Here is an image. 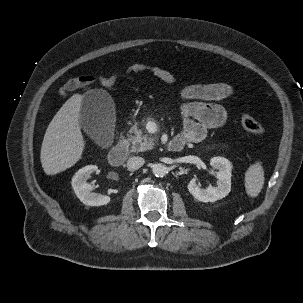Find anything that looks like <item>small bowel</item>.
<instances>
[{
  "label": "small bowel",
  "mask_w": 303,
  "mask_h": 303,
  "mask_svg": "<svg viewBox=\"0 0 303 303\" xmlns=\"http://www.w3.org/2000/svg\"><path fill=\"white\" fill-rule=\"evenodd\" d=\"M126 74L149 73L160 81L174 85L176 76L169 70L146 63H134L125 70ZM100 80L91 76L69 77L60 87L61 96H69L71 92ZM234 88L227 83L193 84L180 89L182 104L180 113L183 120V131L179 135L186 143L202 141L209 129L224 126L228 121L226 109L218 102L230 98Z\"/></svg>",
  "instance_id": "c3829d8e"
}]
</instances>
